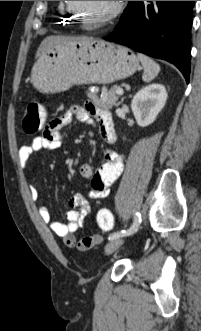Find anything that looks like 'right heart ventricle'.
Wrapping results in <instances>:
<instances>
[{"label": "right heart ventricle", "instance_id": "1", "mask_svg": "<svg viewBox=\"0 0 201 331\" xmlns=\"http://www.w3.org/2000/svg\"><path fill=\"white\" fill-rule=\"evenodd\" d=\"M59 12L61 13V17L63 20H66L67 22H74L75 21V15L71 10L68 8V1H60V5L58 8Z\"/></svg>", "mask_w": 201, "mask_h": 331}]
</instances>
